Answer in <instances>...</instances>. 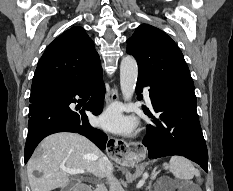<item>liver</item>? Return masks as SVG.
<instances>
[{
    "instance_id": "1",
    "label": "liver",
    "mask_w": 233,
    "mask_h": 191,
    "mask_svg": "<svg viewBox=\"0 0 233 191\" xmlns=\"http://www.w3.org/2000/svg\"><path fill=\"white\" fill-rule=\"evenodd\" d=\"M104 156L90 140L77 133L59 132L44 138L40 143L39 155L27 163V175L31 191H52L64 188L69 176L60 169L63 165L70 169H82L94 176L104 173L98 161ZM37 171L40 176H36Z\"/></svg>"
}]
</instances>
